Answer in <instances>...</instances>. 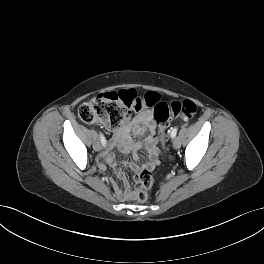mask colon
<instances>
[{
	"label": "colon",
	"instance_id": "1",
	"mask_svg": "<svg viewBox=\"0 0 264 264\" xmlns=\"http://www.w3.org/2000/svg\"><path fill=\"white\" fill-rule=\"evenodd\" d=\"M152 108L158 124L157 137L165 147L167 128L172 117L192 118L197 112V105L192 100L173 101L170 104L161 101L155 92L138 94L127 89L102 93L83 103L78 109V118L84 123H101L110 130L120 127L129 111ZM154 179L149 169H143L134 180L132 197L139 202L148 199V190Z\"/></svg>",
	"mask_w": 264,
	"mask_h": 264
}]
</instances>
